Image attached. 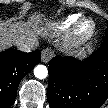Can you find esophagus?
<instances>
[{
    "label": "esophagus",
    "instance_id": "obj_1",
    "mask_svg": "<svg viewBox=\"0 0 108 108\" xmlns=\"http://www.w3.org/2000/svg\"><path fill=\"white\" fill-rule=\"evenodd\" d=\"M54 53L51 49H44L41 52V60L43 63H48L53 57Z\"/></svg>",
    "mask_w": 108,
    "mask_h": 108
}]
</instances>
